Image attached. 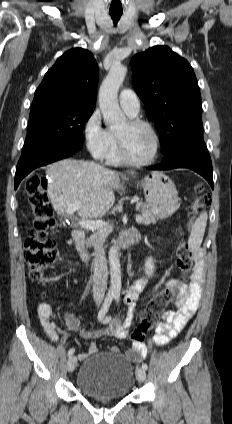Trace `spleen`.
Here are the masks:
<instances>
[{"mask_svg":"<svg viewBox=\"0 0 232 424\" xmlns=\"http://www.w3.org/2000/svg\"><path fill=\"white\" fill-rule=\"evenodd\" d=\"M207 217V213L200 214L192 226L191 234L188 239V247L191 252H196L200 248L205 233Z\"/></svg>","mask_w":232,"mask_h":424,"instance_id":"3e777b00","label":"spleen"}]
</instances>
